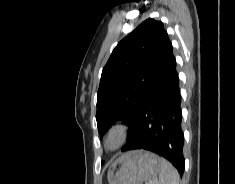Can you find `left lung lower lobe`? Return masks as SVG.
I'll return each instance as SVG.
<instances>
[{
    "label": "left lung lower lobe",
    "mask_w": 235,
    "mask_h": 184,
    "mask_svg": "<svg viewBox=\"0 0 235 184\" xmlns=\"http://www.w3.org/2000/svg\"><path fill=\"white\" fill-rule=\"evenodd\" d=\"M179 79L171 41H166L153 82L141 106L137 123L122 152L144 149L170 161L184 172Z\"/></svg>",
    "instance_id": "left-lung-lower-lobe-1"
}]
</instances>
